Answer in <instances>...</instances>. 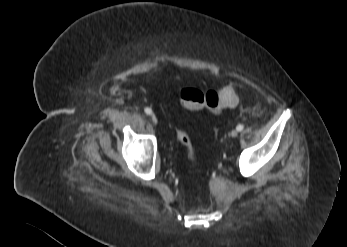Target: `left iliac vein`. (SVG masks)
<instances>
[{
  "label": "left iliac vein",
  "mask_w": 347,
  "mask_h": 247,
  "mask_svg": "<svg viewBox=\"0 0 347 247\" xmlns=\"http://www.w3.org/2000/svg\"><path fill=\"white\" fill-rule=\"evenodd\" d=\"M231 136H232L233 138L237 137V136H238V131H237V130H233V131L231 132Z\"/></svg>",
  "instance_id": "4c4485c4"
}]
</instances>
